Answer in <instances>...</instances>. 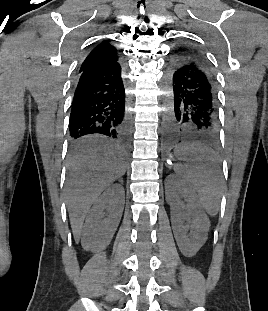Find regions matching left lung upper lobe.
<instances>
[{
  "instance_id": "1",
  "label": "left lung upper lobe",
  "mask_w": 268,
  "mask_h": 311,
  "mask_svg": "<svg viewBox=\"0 0 268 311\" xmlns=\"http://www.w3.org/2000/svg\"><path fill=\"white\" fill-rule=\"evenodd\" d=\"M188 48L192 51L193 54L204 56L198 49H196L194 47H188Z\"/></svg>"
}]
</instances>
